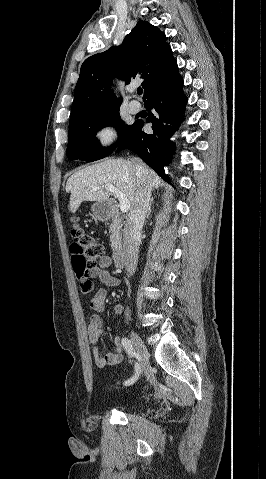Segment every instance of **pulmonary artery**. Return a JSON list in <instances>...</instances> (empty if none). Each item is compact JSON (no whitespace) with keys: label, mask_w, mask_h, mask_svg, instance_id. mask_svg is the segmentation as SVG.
<instances>
[{"label":"pulmonary artery","mask_w":266,"mask_h":479,"mask_svg":"<svg viewBox=\"0 0 266 479\" xmlns=\"http://www.w3.org/2000/svg\"><path fill=\"white\" fill-rule=\"evenodd\" d=\"M128 106L132 113H138L141 110V104L136 100H131Z\"/></svg>","instance_id":"obj_1"}]
</instances>
